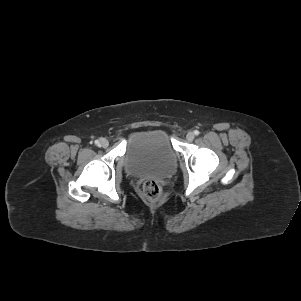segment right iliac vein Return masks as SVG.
<instances>
[{
    "label": "right iliac vein",
    "instance_id": "right-iliac-vein-1",
    "mask_svg": "<svg viewBox=\"0 0 301 301\" xmlns=\"http://www.w3.org/2000/svg\"><path fill=\"white\" fill-rule=\"evenodd\" d=\"M109 145V141L106 138L99 139V146L102 148H106Z\"/></svg>",
    "mask_w": 301,
    "mask_h": 301
}]
</instances>
